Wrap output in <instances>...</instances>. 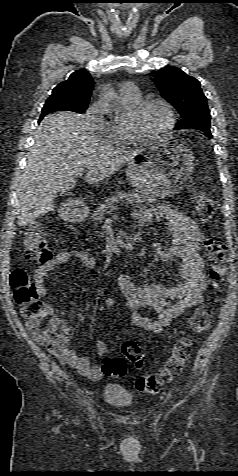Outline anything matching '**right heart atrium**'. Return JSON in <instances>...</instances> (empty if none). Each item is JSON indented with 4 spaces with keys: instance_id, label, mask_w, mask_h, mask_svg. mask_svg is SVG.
Listing matches in <instances>:
<instances>
[{
    "instance_id": "obj_1",
    "label": "right heart atrium",
    "mask_w": 238,
    "mask_h": 476,
    "mask_svg": "<svg viewBox=\"0 0 238 476\" xmlns=\"http://www.w3.org/2000/svg\"><path fill=\"white\" fill-rule=\"evenodd\" d=\"M87 118L96 131L104 137L114 139L116 132L101 115L100 107L97 103L92 104L86 111Z\"/></svg>"
}]
</instances>
